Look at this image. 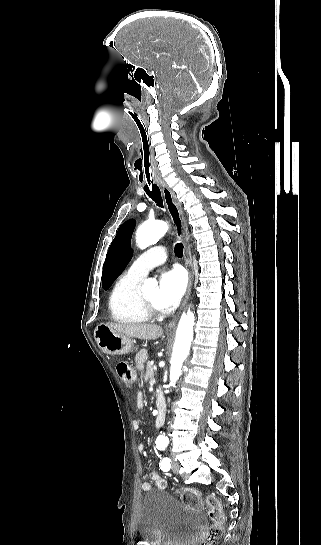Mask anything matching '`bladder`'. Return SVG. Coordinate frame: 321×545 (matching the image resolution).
Here are the masks:
<instances>
[{"label": "bladder", "instance_id": "1", "mask_svg": "<svg viewBox=\"0 0 321 545\" xmlns=\"http://www.w3.org/2000/svg\"><path fill=\"white\" fill-rule=\"evenodd\" d=\"M204 525L201 513L186 509L163 489H150L143 497L138 530L150 545H191Z\"/></svg>", "mask_w": 321, "mask_h": 545}]
</instances>
